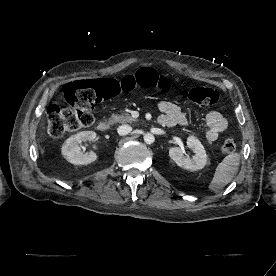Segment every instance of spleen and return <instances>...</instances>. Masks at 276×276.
<instances>
[{
    "label": "spleen",
    "instance_id": "spleen-1",
    "mask_svg": "<svg viewBox=\"0 0 276 276\" xmlns=\"http://www.w3.org/2000/svg\"><path fill=\"white\" fill-rule=\"evenodd\" d=\"M240 164V155L231 153L220 162L215 170L214 176L208 186L211 191L218 192L231 182L237 174Z\"/></svg>",
    "mask_w": 276,
    "mask_h": 276
}]
</instances>
